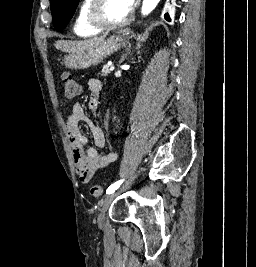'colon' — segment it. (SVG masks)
<instances>
[{
  "mask_svg": "<svg viewBox=\"0 0 256 267\" xmlns=\"http://www.w3.org/2000/svg\"><path fill=\"white\" fill-rule=\"evenodd\" d=\"M62 84L64 93L68 97H76L79 94V85L77 81L68 73H64L62 76ZM105 192V186L104 185H93L90 188V194L93 197H99L103 195Z\"/></svg>",
  "mask_w": 256,
  "mask_h": 267,
  "instance_id": "5ec220e1",
  "label": "colon"
}]
</instances>
